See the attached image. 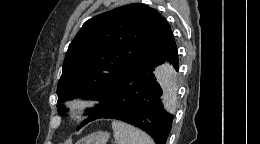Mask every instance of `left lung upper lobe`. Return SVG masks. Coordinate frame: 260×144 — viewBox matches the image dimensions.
Segmentation results:
<instances>
[{
	"mask_svg": "<svg viewBox=\"0 0 260 144\" xmlns=\"http://www.w3.org/2000/svg\"><path fill=\"white\" fill-rule=\"evenodd\" d=\"M173 40L166 19L142 3L92 17L68 47L57 86L58 103L74 96L97 100L100 104L88 110L91 115L81 126L95 120L108 107L121 78Z\"/></svg>",
	"mask_w": 260,
	"mask_h": 144,
	"instance_id": "left-lung-upper-lobe-1",
	"label": "left lung upper lobe"
}]
</instances>
